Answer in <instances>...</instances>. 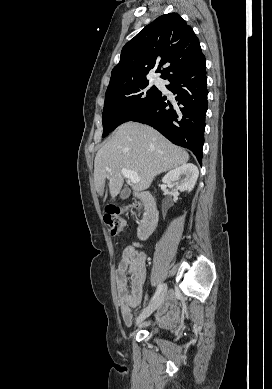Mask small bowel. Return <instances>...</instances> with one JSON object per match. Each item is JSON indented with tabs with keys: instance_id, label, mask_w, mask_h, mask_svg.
Returning a JSON list of instances; mask_svg holds the SVG:
<instances>
[{
	"instance_id": "small-bowel-1",
	"label": "small bowel",
	"mask_w": 272,
	"mask_h": 389,
	"mask_svg": "<svg viewBox=\"0 0 272 389\" xmlns=\"http://www.w3.org/2000/svg\"><path fill=\"white\" fill-rule=\"evenodd\" d=\"M128 276L131 289H128ZM146 279L145 255L136 250L135 246L126 247L116 269V290L124 323H132V309L136 308L142 298L143 285ZM165 309L172 310L173 300L168 299Z\"/></svg>"
}]
</instances>
